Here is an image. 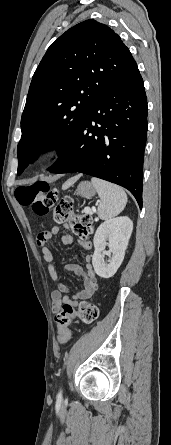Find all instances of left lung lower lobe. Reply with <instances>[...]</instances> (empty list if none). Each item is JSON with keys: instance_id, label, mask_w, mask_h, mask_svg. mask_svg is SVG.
<instances>
[{"instance_id": "obj_1", "label": "left lung lower lobe", "mask_w": 171, "mask_h": 445, "mask_svg": "<svg viewBox=\"0 0 171 445\" xmlns=\"http://www.w3.org/2000/svg\"><path fill=\"white\" fill-rule=\"evenodd\" d=\"M147 99L138 67L113 81L89 107L66 148L48 169L80 172L128 189L142 207Z\"/></svg>"}]
</instances>
